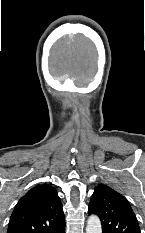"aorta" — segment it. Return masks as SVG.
I'll list each match as a JSON object with an SVG mask.
<instances>
[{
    "label": "aorta",
    "mask_w": 145,
    "mask_h": 233,
    "mask_svg": "<svg viewBox=\"0 0 145 233\" xmlns=\"http://www.w3.org/2000/svg\"><path fill=\"white\" fill-rule=\"evenodd\" d=\"M86 233H102L101 222L96 215H91L88 218Z\"/></svg>",
    "instance_id": "1"
}]
</instances>
